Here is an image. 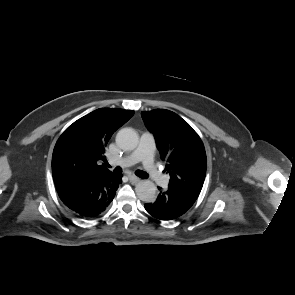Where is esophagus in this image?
Here are the masks:
<instances>
[{"mask_svg": "<svg viewBox=\"0 0 295 295\" xmlns=\"http://www.w3.org/2000/svg\"><path fill=\"white\" fill-rule=\"evenodd\" d=\"M128 178L132 183H138L140 181V179L134 175H128Z\"/></svg>", "mask_w": 295, "mask_h": 295, "instance_id": "esophagus-1", "label": "esophagus"}]
</instances>
